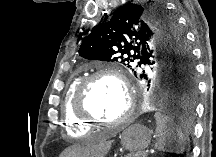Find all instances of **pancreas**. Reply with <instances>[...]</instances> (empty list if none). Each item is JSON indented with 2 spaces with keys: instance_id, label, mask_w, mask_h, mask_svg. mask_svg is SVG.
Here are the masks:
<instances>
[{
  "instance_id": "cf45deb5",
  "label": "pancreas",
  "mask_w": 216,
  "mask_h": 157,
  "mask_svg": "<svg viewBox=\"0 0 216 157\" xmlns=\"http://www.w3.org/2000/svg\"><path fill=\"white\" fill-rule=\"evenodd\" d=\"M146 156H147V154H145L144 152H141V151L136 152V153H132L129 155V157H146Z\"/></svg>"
}]
</instances>
